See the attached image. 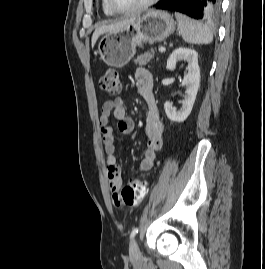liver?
Here are the masks:
<instances>
[{
	"instance_id": "1",
	"label": "liver",
	"mask_w": 265,
	"mask_h": 269,
	"mask_svg": "<svg viewBox=\"0 0 265 269\" xmlns=\"http://www.w3.org/2000/svg\"><path fill=\"white\" fill-rule=\"evenodd\" d=\"M134 19L136 18L124 19L122 21H118V22H114L108 25H102V26L97 27L92 35V40H91L92 47H94L100 35L107 32L118 31L122 29L124 26H126L127 24H129L130 22H132Z\"/></svg>"
}]
</instances>
